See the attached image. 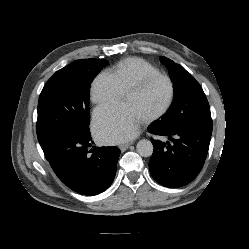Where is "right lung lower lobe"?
Returning <instances> with one entry per match:
<instances>
[{
  "instance_id": "1",
  "label": "right lung lower lobe",
  "mask_w": 249,
  "mask_h": 249,
  "mask_svg": "<svg viewBox=\"0 0 249 249\" xmlns=\"http://www.w3.org/2000/svg\"><path fill=\"white\" fill-rule=\"evenodd\" d=\"M92 143L88 133L60 136L41 146L58 178L83 195L99 194L112 184L120 156L117 147L89 150Z\"/></svg>"
}]
</instances>
